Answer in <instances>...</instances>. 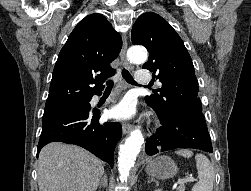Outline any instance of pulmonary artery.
<instances>
[{
	"label": "pulmonary artery",
	"instance_id": "obj_1",
	"mask_svg": "<svg viewBox=\"0 0 251 191\" xmlns=\"http://www.w3.org/2000/svg\"><path fill=\"white\" fill-rule=\"evenodd\" d=\"M139 73H136V78L140 82H152L153 73H149V68H139Z\"/></svg>",
	"mask_w": 251,
	"mask_h": 191
}]
</instances>
